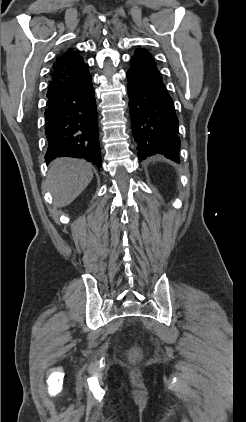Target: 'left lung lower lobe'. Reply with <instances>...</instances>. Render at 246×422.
I'll return each instance as SVG.
<instances>
[{
	"instance_id": "left-lung-lower-lobe-1",
	"label": "left lung lower lobe",
	"mask_w": 246,
	"mask_h": 422,
	"mask_svg": "<svg viewBox=\"0 0 246 422\" xmlns=\"http://www.w3.org/2000/svg\"><path fill=\"white\" fill-rule=\"evenodd\" d=\"M127 72L129 111L140 161L163 154L179 162V123L174 103L152 55L137 49Z\"/></svg>"
}]
</instances>
